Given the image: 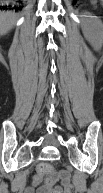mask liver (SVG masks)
I'll use <instances>...</instances> for the list:
<instances>
[{"label":"liver","mask_w":103,"mask_h":193,"mask_svg":"<svg viewBox=\"0 0 103 193\" xmlns=\"http://www.w3.org/2000/svg\"><path fill=\"white\" fill-rule=\"evenodd\" d=\"M15 24V15L11 12L3 13L1 15V32L6 34Z\"/></svg>","instance_id":"obj_1"}]
</instances>
